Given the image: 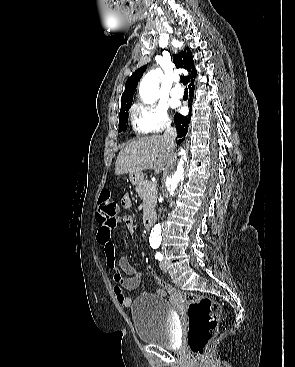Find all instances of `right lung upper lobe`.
<instances>
[{"label": "right lung upper lobe", "mask_w": 295, "mask_h": 367, "mask_svg": "<svg viewBox=\"0 0 295 367\" xmlns=\"http://www.w3.org/2000/svg\"><path fill=\"white\" fill-rule=\"evenodd\" d=\"M173 62L177 68H183L188 71V75L184 76L182 82L188 84L189 89L194 86V79L196 78V70L194 67L192 53L189 48L184 49L181 53L174 55ZM146 66L138 68L126 81L125 90L121 97V105L132 102L133 95L140 78L142 77Z\"/></svg>", "instance_id": "1"}]
</instances>
